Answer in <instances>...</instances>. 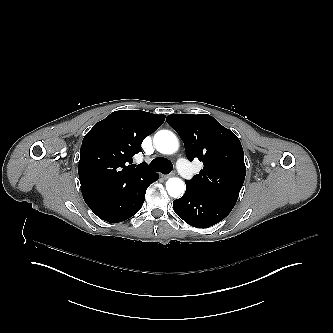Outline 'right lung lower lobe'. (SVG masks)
I'll return each mask as SVG.
<instances>
[{
    "mask_svg": "<svg viewBox=\"0 0 333 333\" xmlns=\"http://www.w3.org/2000/svg\"><path fill=\"white\" fill-rule=\"evenodd\" d=\"M159 178L147 170L124 182L97 185L82 190L89 208L107 222H121L136 214L143 205L146 189Z\"/></svg>",
    "mask_w": 333,
    "mask_h": 333,
    "instance_id": "obj_1",
    "label": "right lung lower lobe"
}]
</instances>
